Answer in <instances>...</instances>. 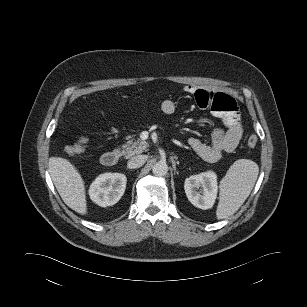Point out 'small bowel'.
Returning a JSON list of instances; mask_svg holds the SVG:
<instances>
[{"mask_svg": "<svg viewBox=\"0 0 307 307\" xmlns=\"http://www.w3.org/2000/svg\"><path fill=\"white\" fill-rule=\"evenodd\" d=\"M184 91L194 95L200 107L210 109L213 115L223 122L224 128L213 131L210 144L197 138L188 140L191 149L202 159L215 162L222 157L223 153L233 151L242 138L243 123L236 101L228 94L202 90L195 85L185 86ZM175 109L176 105L172 100L167 99L161 103V110L165 114H172Z\"/></svg>", "mask_w": 307, "mask_h": 307, "instance_id": "1", "label": "small bowel"}]
</instances>
